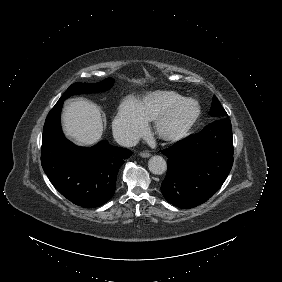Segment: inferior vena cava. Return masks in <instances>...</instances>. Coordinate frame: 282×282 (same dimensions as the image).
I'll use <instances>...</instances> for the list:
<instances>
[{"mask_svg": "<svg viewBox=\"0 0 282 282\" xmlns=\"http://www.w3.org/2000/svg\"><path fill=\"white\" fill-rule=\"evenodd\" d=\"M113 136L115 141L122 146L132 147L139 142L137 135L124 127H113Z\"/></svg>", "mask_w": 282, "mask_h": 282, "instance_id": "inferior-vena-cava-1", "label": "inferior vena cava"}]
</instances>
